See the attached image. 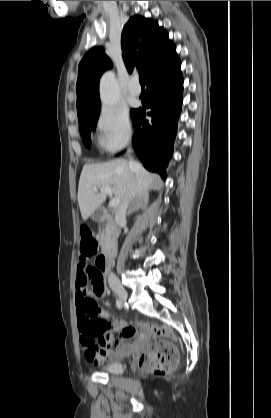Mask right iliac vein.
Returning <instances> with one entry per match:
<instances>
[{
  "mask_svg": "<svg viewBox=\"0 0 271 418\" xmlns=\"http://www.w3.org/2000/svg\"><path fill=\"white\" fill-rule=\"evenodd\" d=\"M113 291L115 292V294L118 296V298L123 303H125L127 301L128 294H127V292H126V290H125L124 287H122L121 285H115L113 287Z\"/></svg>",
  "mask_w": 271,
  "mask_h": 418,
  "instance_id": "63e3f726",
  "label": "right iliac vein"
}]
</instances>
